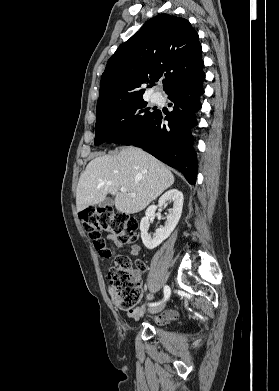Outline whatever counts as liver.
Segmentation results:
<instances>
[{
  "mask_svg": "<svg viewBox=\"0 0 279 391\" xmlns=\"http://www.w3.org/2000/svg\"><path fill=\"white\" fill-rule=\"evenodd\" d=\"M175 181L171 171L144 150L128 146L118 153L97 156L81 174L76 190L77 211L115 196L117 211L134 214L144 210ZM124 187L126 192H119ZM135 193V196H131Z\"/></svg>",
  "mask_w": 279,
  "mask_h": 391,
  "instance_id": "6515ba94",
  "label": "liver"
}]
</instances>
